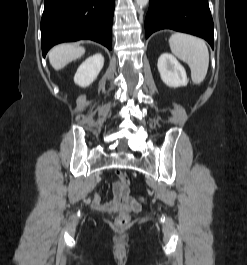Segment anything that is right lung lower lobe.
I'll return each instance as SVG.
<instances>
[{"instance_id":"1","label":"right lung lower lobe","mask_w":247,"mask_h":265,"mask_svg":"<svg viewBox=\"0 0 247 265\" xmlns=\"http://www.w3.org/2000/svg\"><path fill=\"white\" fill-rule=\"evenodd\" d=\"M115 0H45L41 19L43 56L61 42L90 39L112 49Z\"/></svg>"}]
</instances>
